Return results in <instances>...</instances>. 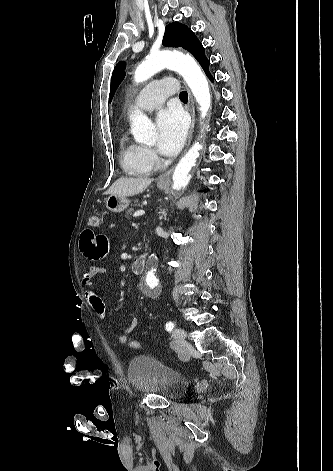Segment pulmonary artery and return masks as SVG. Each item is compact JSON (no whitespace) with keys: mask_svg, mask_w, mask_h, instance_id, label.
Returning a JSON list of instances; mask_svg holds the SVG:
<instances>
[{"mask_svg":"<svg viewBox=\"0 0 333 471\" xmlns=\"http://www.w3.org/2000/svg\"><path fill=\"white\" fill-rule=\"evenodd\" d=\"M177 90L176 83L171 78L155 80L148 84L137 96L135 105L144 111L158 108L165 99Z\"/></svg>","mask_w":333,"mask_h":471,"instance_id":"e3ab8cb5","label":"pulmonary artery"}]
</instances>
